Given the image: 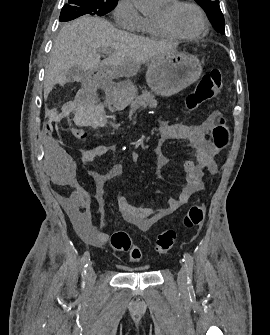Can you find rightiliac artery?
<instances>
[{"label": "right iliac artery", "mask_w": 270, "mask_h": 335, "mask_svg": "<svg viewBox=\"0 0 270 335\" xmlns=\"http://www.w3.org/2000/svg\"><path fill=\"white\" fill-rule=\"evenodd\" d=\"M90 260V253L86 251L81 258V268H82V287L85 286V279L87 277V267Z\"/></svg>", "instance_id": "82829eb1"}]
</instances>
